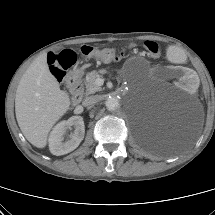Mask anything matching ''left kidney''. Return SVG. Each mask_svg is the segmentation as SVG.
I'll list each match as a JSON object with an SVG mask.
<instances>
[{"label":"left kidney","instance_id":"5707ae66","mask_svg":"<svg viewBox=\"0 0 215 215\" xmlns=\"http://www.w3.org/2000/svg\"><path fill=\"white\" fill-rule=\"evenodd\" d=\"M171 79L175 83H180L183 90L186 92H193L200 87V78L190 69L175 68L171 72Z\"/></svg>","mask_w":215,"mask_h":215}]
</instances>
